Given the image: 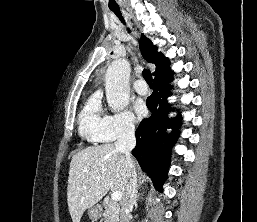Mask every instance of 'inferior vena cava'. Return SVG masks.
<instances>
[{
    "instance_id": "obj_1",
    "label": "inferior vena cava",
    "mask_w": 257,
    "mask_h": 222,
    "mask_svg": "<svg viewBox=\"0 0 257 222\" xmlns=\"http://www.w3.org/2000/svg\"><path fill=\"white\" fill-rule=\"evenodd\" d=\"M136 145L135 127L132 123L125 124L115 142V147L118 151L123 153L128 163L129 181L126 189V194L122 202L120 222H130V212L135 204V193L137 187V175L133 159L131 157V150Z\"/></svg>"
}]
</instances>
